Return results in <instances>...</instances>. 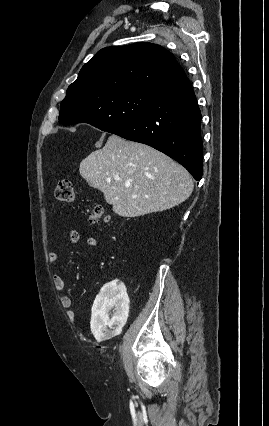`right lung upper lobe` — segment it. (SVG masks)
<instances>
[{"label": "right lung upper lobe", "mask_w": 269, "mask_h": 426, "mask_svg": "<svg viewBox=\"0 0 269 426\" xmlns=\"http://www.w3.org/2000/svg\"><path fill=\"white\" fill-rule=\"evenodd\" d=\"M185 77L173 54L159 45L139 42L101 49L82 67L67 95L89 99L131 89L157 92Z\"/></svg>", "instance_id": "right-lung-upper-lobe-1"}]
</instances>
